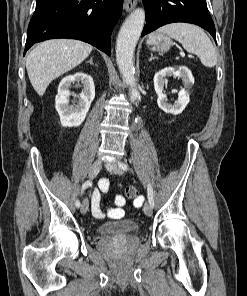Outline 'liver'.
<instances>
[{"label": "liver", "instance_id": "obj_1", "mask_svg": "<svg viewBox=\"0 0 247 296\" xmlns=\"http://www.w3.org/2000/svg\"><path fill=\"white\" fill-rule=\"evenodd\" d=\"M92 49V45L74 39H53L37 45L26 58V69L34 90L43 96L55 78L79 65Z\"/></svg>", "mask_w": 247, "mask_h": 296}]
</instances>
